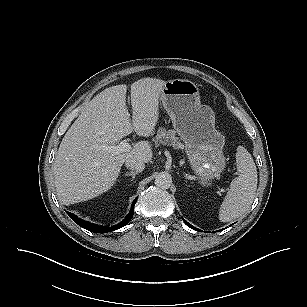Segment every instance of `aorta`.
I'll return each mask as SVG.
<instances>
[{
  "instance_id": "obj_1",
  "label": "aorta",
  "mask_w": 307,
  "mask_h": 307,
  "mask_svg": "<svg viewBox=\"0 0 307 307\" xmlns=\"http://www.w3.org/2000/svg\"><path fill=\"white\" fill-rule=\"evenodd\" d=\"M155 185L161 189H168L172 184V176L168 172H160L156 175Z\"/></svg>"
}]
</instances>
